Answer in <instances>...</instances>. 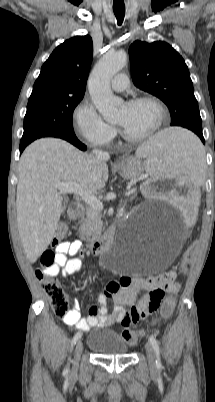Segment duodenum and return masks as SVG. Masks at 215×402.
Returning a JSON list of instances; mask_svg holds the SVG:
<instances>
[{
    "mask_svg": "<svg viewBox=\"0 0 215 402\" xmlns=\"http://www.w3.org/2000/svg\"><path fill=\"white\" fill-rule=\"evenodd\" d=\"M83 207L79 204H74L70 210L69 216L72 220H78L83 215ZM114 233L109 230L105 233L104 237L88 244L91 253L97 256L107 254L113 246Z\"/></svg>",
    "mask_w": 215,
    "mask_h": 402,
    "instance_id": "1",
    "label": "duodenum"
}]
</instances>
